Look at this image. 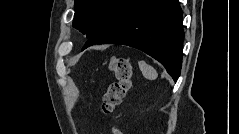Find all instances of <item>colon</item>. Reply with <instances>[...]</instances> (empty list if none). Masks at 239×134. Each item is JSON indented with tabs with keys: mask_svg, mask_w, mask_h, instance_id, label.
Returning a JSON list of instances; mask_svg holds the SVG:
<instances>
[{
	"mask_svg": "<svg viewBox=\"0 0 239 134\" xmlns=\"http://www.w3.org/2000/svg\"><path fill=\"white\" fill-rule=\"evenodd\" d=\"M109 69L115 75V80L107 88L102 100V110L105 114L112 113L123 101L131 88L132 65L130 61L122 57H112L109 61ZM114 134H120L114 128Z\"/></svg>",
	"mask_w": 239,
	"mask_h": 134,
	"instance_id": "colon-1",
	"label": "colon"
}]
</instances>
